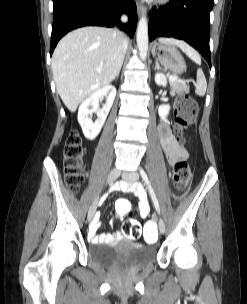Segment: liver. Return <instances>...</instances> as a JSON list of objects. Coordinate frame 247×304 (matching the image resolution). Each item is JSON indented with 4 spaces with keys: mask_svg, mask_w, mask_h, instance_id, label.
I'll return each instance as SVG.
<instances>
[{
    "mask_svg": "<svg viewBox=\"0 0 247 304\" xmlns=\"http://www.w3.org/2000/svg\"><path fill=\"white\" fill-rule=\"evenodd\" d=\"M186 52H196L183 41L161 38ZM123 63L122 36L105 27H82L64 36L52 56L56 89L70 112L99 88L115 79Z\"/></svg>",
    "mask_w": 247,
    "mask_h": 304,
    "instance_id": "6515ba94",
    "label": "liver"
}]
</instances>
